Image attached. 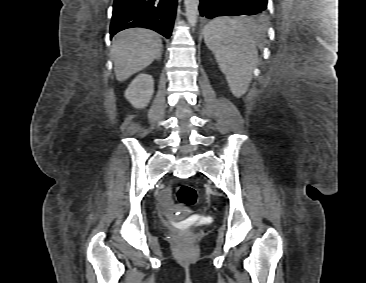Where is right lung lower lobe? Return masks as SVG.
<instances>
[{"label":"right lung lower lobe","mask_w":366,"mask_h":283,"mask_svg":"<svg viewBox=\"0 0 366 283\" xmlns=\"http://www.w3.org/2000/svg\"><path fill=\"white\" fill-rule=\"evenodd\" d=\"M176 8L177 0H114L110 38L132 27L149 28L169 38Z\"/></svg>","instance_id":"right-lung-lower-lobe-1"}]
</instances>
